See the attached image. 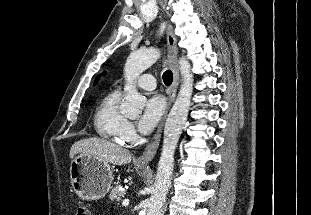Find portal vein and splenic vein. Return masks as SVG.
Segmentation results:
<instances>
[{"instance_id":"portal-vein-and-splenic-vein-1","label":"portal vein and splenic vein","mask_w":311,"mask_h":215,"mask_svg":"<svg viewBox=\"0 0 311 215\" xmlns=\"http://www.w3.org/2000/svg\"><path fill=\"white\" fill-rule=\"evenodd\" d=\"M122 205L123 206H128L129 205V200L128 199L123 200Z\"/></svg>"}]
</instances>
